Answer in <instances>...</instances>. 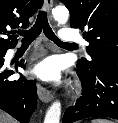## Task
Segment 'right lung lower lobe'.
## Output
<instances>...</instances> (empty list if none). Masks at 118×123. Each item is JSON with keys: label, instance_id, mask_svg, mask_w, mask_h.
<instances>
[{"label": "right lung lower lobe", "instance_id": "1", "mask_svg": "<svg viewBox=\"0 0 118 123\" xmlns=\"http://www.w3.org/2000/svg\"><path fill=\"white\" fill-rule=\"evenodd\" d=\"M0 55V109L16 118L20 123H29V119L37 105V90L34 81L24 77L9 81L7 78L14 71L4 68V56ZM24 68V60L20 62Z\"/></svg>", "mask_w": 118, "mask_h": 123}]
</instances>
